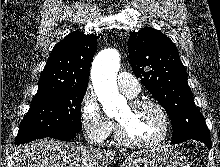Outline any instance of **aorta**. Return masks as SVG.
I'll return each instance as SVG.
<instances>
[{"label": "aorta", "mask_w": 220, "mask_h": 167, "mask_svg": "<svg viewBox=\"0 0 220 167\" xmlns=\"http://www.w3.org/2000/svg\"><path fill=\"white\" fill-rule=\"evenodd\" d=\"M120 67V55L115 49H106L94 59L91 79L95 93L107 115L117 112L126 100L118 92L117 72Z\"/></svg>", "instance_id": "aorta-1"}]
</instances>
